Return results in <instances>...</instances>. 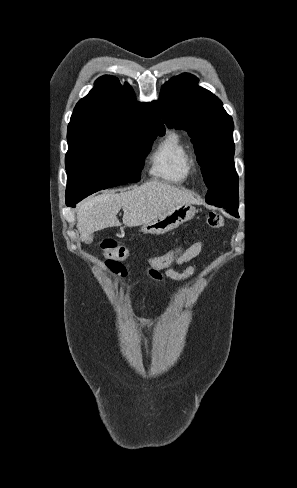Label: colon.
I'll use <instances>...</instances> for the list:
<instances>
[{
  "label": "colon",
  "mask_w": 297,
  "mask_h": 488,
  "mask_svg": "<svg viewBox=\"0 0 297 488\" xmlns=\"http://www.w3.org/2000/svg\"><path fill=\"white\" fill-rule=\"evenodd\" d=\"M206 221L207 225L212 229H219L224 225L223 217L217 211L209 212ZM191 242L190 239H186L167 253L150 258V266L153 270H165L170 268L185 252ZM102 248L109 257V259L105 261L107 267L115 274L125 275L126 269L122 261L129 258L130 251L123 246L117 245L116 241L111 238L103 240Z\"/></svg>",
  "instance_id": "5ec220e1"
}]
</instances>
